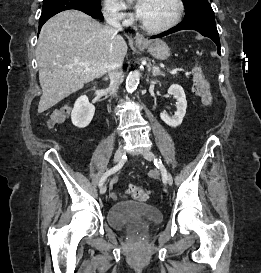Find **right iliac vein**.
<instances>
[{
  "mask_svg": "<svg viewBox=\"0 0 261 273\" xmlns=\"http://www.w3.org/2000/svg\"><path fill=\"white\" fill-rule=\"evenodd\" d=\"M122 155H123V149L122 147L120 146L116 152H115V155H114V163H118L121 161V158H122ZM106 192V185H103L101 188H100V193L101 194H104Z\"/></svg>",
  "mask_w": 261,
  "mask_h": 273,
  "instance_id": "obj_1",
  "label": "right iliac vein"
}]
</instances>
